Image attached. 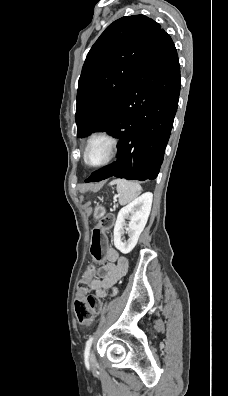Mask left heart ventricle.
Masks as SVG:
<instances>
[{
  "label": "left heart ventricle",
  "instance_id": "obj_1",
  "mask_svg": "<svg viewBox=\"0 0 228 396\" xmlns=\"http://www.w3.org/2000/svg\"><path fill=\"white\" fill-rule=\"evenodd\" d=\"M107 153L108 143L103 139H96L88 149V160L91 163H99L105 159Z\"/></svg>",
  "mask_w": 228,
  "mask_h": 396
}]
</instances>
